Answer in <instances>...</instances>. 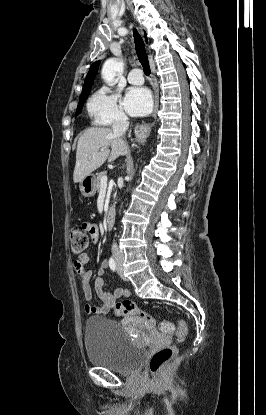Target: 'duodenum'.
I'll return each mask as SVG.
<instances>
[{
  "label": "duodenum",
  "instance_id": "obj_1",
  "mask_svg": "<svg viewBox=\"0 0 266 415\" xmlns=\"http://www.w3.org/2000/svg\"><path fill=\"white\" fill-rule=\"evenodd\" d=\"M114 218H115V209L113 207H110L105 217V223L108 228H111L113 226Z\"/></svg>",
  "mask_w": 266,
  "mask_h": 415
}]
</instances>
